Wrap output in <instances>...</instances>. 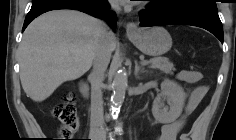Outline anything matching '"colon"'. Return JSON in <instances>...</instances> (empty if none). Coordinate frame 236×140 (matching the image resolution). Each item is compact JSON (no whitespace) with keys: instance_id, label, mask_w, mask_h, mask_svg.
<instances>
[{"instance_id":"5ec220e1","label":"colon","mask_w":236,"mask_h":140,"mask_svg":"<svg viewBox=\"0 0 236 140\" xmlns=\"http://www.w3.org/2000/svg\"><path fill=\"white\" fill-rule=\"evenodd\" d=\"M52 113L61 123V137L69 138L79 125L74 95L71 92H65L54 106Z\"/></svg>"}]
</instances>
